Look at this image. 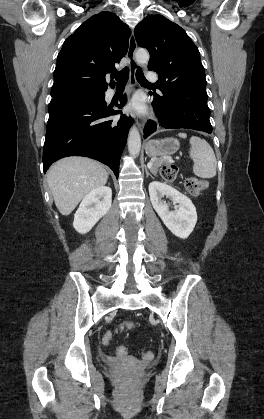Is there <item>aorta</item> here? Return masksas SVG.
Wrapping results in <instances>:
<instances>
[{"label":"aorta","mask_w":264,"mask_h":419,"mask_svg":"<svg viewBox=\"0 0 264 419\" xmlns=\"http://www.w3.org/2000/svg\"><path fill=\"white\" fill-rule=\"evenodd\" d=\"M136 61L145 64L149 60V53L145 49H139L135 55ZM141 149V137L136 126H132L128 136V151L132 156L139 154Z\"/></svg>","instance_id":"762f6f07"}]
</instances>
